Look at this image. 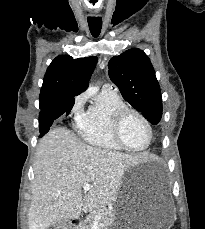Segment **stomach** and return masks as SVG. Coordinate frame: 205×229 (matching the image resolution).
<instances>
[{
    "label": "stomach",
    "instance_id": "0dacf381",
    "mask_svg": "<svg viewBox=\"0 0 205 229\" xmlns=\"http://www.w3.org/2000/svg\"><path fill=\"white\" fill-rule=\"evenodd\" d=\"M136 190L135 179L128 174L123 178L109 229H170L175 220L173 205Z\"/></svg>",
    "mask_w": 205,
    "mask_h": 229
}]
</instances>
